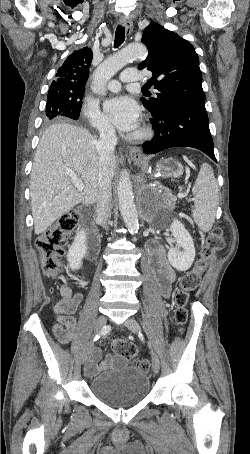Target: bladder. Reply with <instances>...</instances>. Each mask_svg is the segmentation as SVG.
<instances>
[{
    "label": "bladder",
    "mask_w": 250,
    "mask_h": 454,
    "mask_svg": "<svg viewBox=\"0 0 250 454\" xmlns=\"http://www.w3.org/2000/svg\"><path fill=\"white\" fill-rule=\"evenodd\" d=\"M124 362V357L116 356ZM91 393L103 404L111 407L135 405L144 400L150 391V378L140 367L121 364L90 380Z\"/></svg>",
    "instance_id": "obj_1"
}]
</instances>
